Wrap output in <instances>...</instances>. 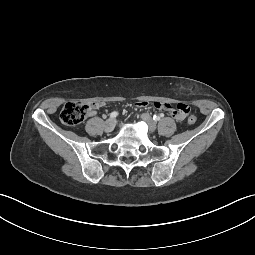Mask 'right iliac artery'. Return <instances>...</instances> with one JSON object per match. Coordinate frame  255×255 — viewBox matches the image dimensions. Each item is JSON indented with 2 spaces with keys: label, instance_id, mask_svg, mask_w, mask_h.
<instances>
[{
  "label": "right iliac artery",
  "instance_id": "obj_1",
  "mask_svg": "<svg viewBox=\"0 0 255 255\" xmlns=\"http://www.w3.org/2000/svg\"><path fill=\"white\" fill-rule=\"evenodd\" d=\"M118 116V112H116V111H114V112H112L111 114H110V118H115V117H117Z\"/></svg>",
  "mask_w": 255,
  "mask_h": 255
}]
</instances>
